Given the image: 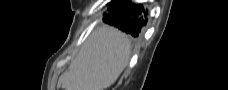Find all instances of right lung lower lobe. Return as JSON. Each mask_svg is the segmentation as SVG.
I'll return each mask as SVG.
<instances>
[{
	"instance_id": "right-lung-lower-lobe-1",
	"label": "right lung lower lobe",
	"mask_w": 228,
	"mask_h": 90,
	"mask_svg": "<svg viewBox=\"0 0 228 90\" xmlns=\"http://www.w3.org/2000/svg\"><path fill=\"white\" fill-rule=\"evenodd\" d=\"M146 16L147 13L141 5L122 2L121 7L116 6L111 13L104 16L103 21L139 39L142 27L147 23Z\"/></svg>"
}]
</instances>
